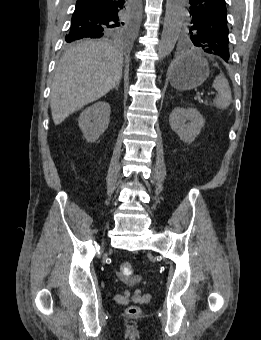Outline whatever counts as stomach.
Returning <instances> with one entry per match:
<instances>
[{
  "label": "stomach",
  "instance_id": "stomach-1",
  "mask_svg": "<svg viewBox=\"0 0 261 340\" xmlns=\"http://www.w3.org/2000/svg\"><path fill=\"white\" fill-rule=\"evenodd\" d=\"M207 61L193 53L177 58L169 69L171 85L181 91L191 90L200 86L209 76Z\"/></svg>",
  "mask_w": 261,
  "mask_h": 340
}]
</instances>
